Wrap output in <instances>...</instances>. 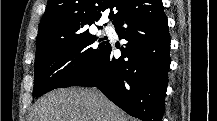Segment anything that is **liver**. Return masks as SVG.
<instances>
[{
    "instance_id": "liver-1",
    "label": "liver",
    "mask_w": 217,
    "mask_h": 121,
    "mask_svg": "<svg viewBox=\"0 0 217 121\" xmlns=\"http://www.w3.org/2000/svg\"><path fill=\"white\" fill-rule=\"evenodd\" d=\"M125 113L94 89H57L38 101L33 121H127Z\"/></svg>"
}]
</instances>
